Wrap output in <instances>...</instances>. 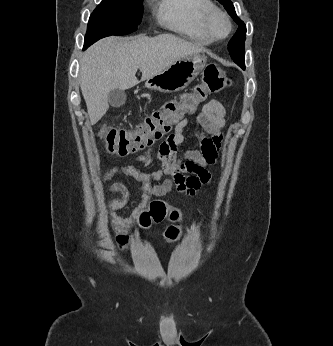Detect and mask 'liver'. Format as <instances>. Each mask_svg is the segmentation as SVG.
Returning <instances> with one entry per match:
<instances>
[{
	"label": "liver",
	"mask_w": 333,
	"mask_h": 346,
	"mask_svg": "<svg viewBox=\"0 0 333 346\" xmlns=\"http://www.w3.org/2000/svg\"><path fill=\"white\" fill-rule=\"evenodd\" d=\"M204 51L202 46L175 35L132 38L107 37L92 45L80 60V88L86 102L91 125L96 124L109 108L108 94L126 90L162 72L176 61Z\"/></svg>",
	"instance_id": "liver-1"
}]
</instances>
